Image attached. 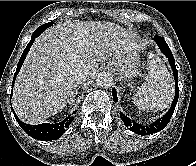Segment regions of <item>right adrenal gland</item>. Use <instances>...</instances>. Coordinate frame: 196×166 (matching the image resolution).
Returning a JSON list of instances; mask_svg holds the SVG:
<instances>
[{
	"label": "right adrenal gland",
	"instance_id": "2a0ac1e0",
	"mask_svg": "<svg viewBox=\"0 0 196 166\" xmlns=\"http://www.w3.org/2000/svg\"><path fill=\"white\" fill-rule=\"evenodd\" d=\"M76 95H77V90H76V92H75V94H74L73 98L71 99V101H69V103L74 102V98L76 97Z\"/></svg>",
	"mask_w": 196,
	"mask_h": 166
}]
</instances>
